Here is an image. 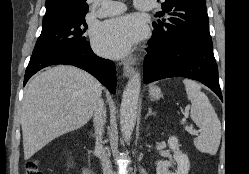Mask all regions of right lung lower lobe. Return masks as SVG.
Masks as SVG:
<instances>
[{
  "instance_id": "right-lung-lower-lobe-1",
  "label": "right lung lower lobe",
  "mask_w": 249,
  "mask_h": 174,
  "mask_svg": "<svg viewBox=\"0 0 249 174\" xmlns=\"http://www.w3.org/2000/svg\"><path fill=\"white\" fill-rule=\"evenodd\" d=\"M54 64H71L84 69L96 77L111 93L116 91L114 63L95 55L90 46L53 48L32 53L24 76V86L37 71Z\"/></svg>"
}]
</instances>
